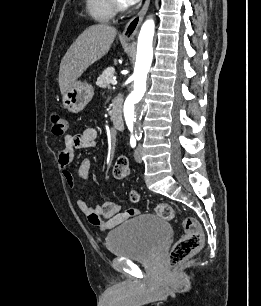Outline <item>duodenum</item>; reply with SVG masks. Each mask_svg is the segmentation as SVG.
Segmentation results:
<instances>
[{"label": "duodenum", "mask_w": 261, "mask_h": 306, "mask_svg": "<svg viewBox=\"0 0 261 306\" xmlns=\"http://www.w3.org/2000/svg\"><path fill=\"white\" fill-rule=\"evenodd\" d=\"M110 118H111L113 125L117 129L124 128L123 114H122V109H121V105L119 101H115L113 103V106L110 110Z\"/></svg>", "instance_id": "duodenum-1"}]
</instances>
